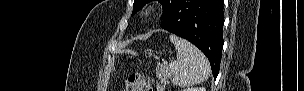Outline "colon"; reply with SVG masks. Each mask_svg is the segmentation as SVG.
<instances>
[{"label":"colon","instance_id":"colon-1","mask_svg":"<svg viewBox=\"0 0 304 91\" xmlns=\"http://www.w3.org/2000/svg\"><path fill=\"white\" fill-rule=\"evenodd\" d=\"M126 91H152V81L141 75H130L124 84Z\"/></svg>","mask_w":304,"mask_h":91}]
</instances>
